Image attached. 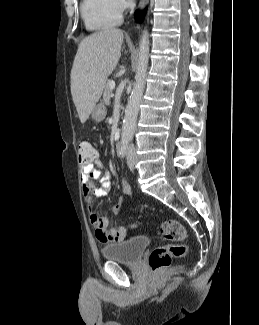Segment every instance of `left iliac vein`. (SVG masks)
<instances>
[{"label": "left iliac vein", "instance_id": "1", "mask_svg": "<svg viewBox=\"0 0 259 325\" xmlns=\"http://www.w3.org/2000/svg\"><path fill=\"white\" fill-rule=\"evenodd\" d=\"M127 165L130 169H134L135 167V156L133 150H129L127 154Z\"/></svg>", "mask_w": 259, "mask_h": 325}]
</instances>
